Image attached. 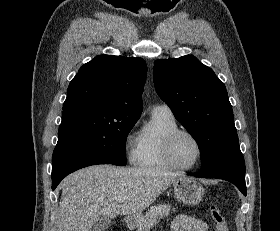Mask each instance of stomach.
I'll return each instance as SVG.
<instances>
[{"label":"stomach","mask_w":280,"mask_h":231,"mask_svg":"<svg viewBox=\"0 0 280 231\" xmlns=\"http://www.w3.org/2000/svg\"><path fill=\"white\" fill-rule=\"evenodd\" d=\"M174 193L176 199L181 201V203H186V205H196L199 201H202L204 195V187L201 183H198L194 177H178L173 183ZM135 219L133 221V225Z\"/></svg>","instance_id":"1"}]
</instances>
